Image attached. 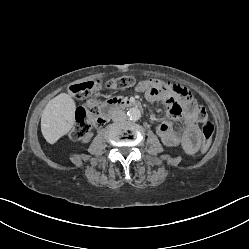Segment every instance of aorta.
<instances>
[{"mask_svg": "<svg viewBox=\"0 0 249 249\" xmlns=\"http://www.w3.org/2000/svg\"><path fill=\"white\" fill-rule=\"evenodd\" d=\"M127 115L129 117L130 120H138L140 119L141 117V112L138 108L136 107H133V108H130L128 111H127Z\"/></svg>", "mask_w": 249, "mask_h": 249, "instance_id": "obj_1", "label": "aorta"}]
</instances>
